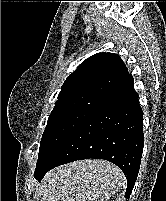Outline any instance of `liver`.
<instances>
[{"label":"liver","mask_w":166,"mask_h":201,"mask_svg":"<svg viewBox=\"0 0 166 201\" xmlns=\"http://www.w3.org/2000/svg\"><path fill=\"white\" fill-rule=\"evenodd\" d=\"M124 184V174L116 165L86 159L46 173L37 192L41 201H108Z\"/></svg>","instance_id":"6515ba94"}]
</instances>
